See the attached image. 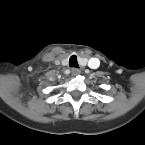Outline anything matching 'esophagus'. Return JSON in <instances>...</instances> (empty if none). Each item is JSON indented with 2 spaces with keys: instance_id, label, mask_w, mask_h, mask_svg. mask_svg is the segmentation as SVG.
Wrapping results in <instances>:
<instances>
[{
  "instance_id": "obj_1",
  "label": "esophagus",
  "mask_w": 145,
  "mask_h": 145,
  "mask_svg": "<svg viewBox=\"0 0 145 145\" xmlns=\"http://www.w3.org/2000/svg\"><path fill=\"white\" fill-rule=\"evenodd\" d=\"M71 73H72L73 76H77V75L80 74V70L78 68L74 67V68L71 69Z\"/></svg>"
}]
</instances>
